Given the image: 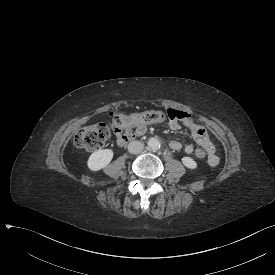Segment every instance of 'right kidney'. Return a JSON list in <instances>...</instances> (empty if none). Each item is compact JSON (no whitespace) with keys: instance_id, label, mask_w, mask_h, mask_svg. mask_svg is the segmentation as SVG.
Segmentation results:
<instances>
[{"instance_id":"right-kidney-1","label":"right kidney","mask_w":275,"mask_h":275,"mask_svg":"<svg viewBox=\"0 0 275 275\" xmlns=\"http://www.w3.org/2000/svg\"><path fill=\"white\" fill-rule=\"evenodd\" d=\"M113 158L111 149L98 150L92 153L88 159V168L92 171H98L105 168Z\"/></svg>"}]
</instances>
